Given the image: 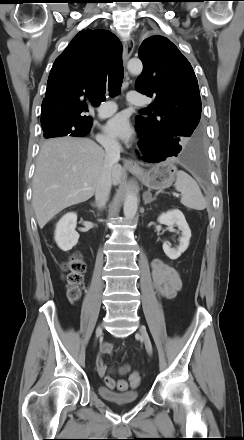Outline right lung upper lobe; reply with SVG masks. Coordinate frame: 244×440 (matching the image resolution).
<instances>
[{
  "mask_svg": "<svg viewBox=\"0 0 244 440\" xmlns=\"http://www.w3.org/2000/svg\"><path fill=\"white\" fill-rule=\"evenodd\" d=\"M121 50L119 39L110 31H80L52 66L41 122L59 120L77 126L92 123L83 113L105 100L108 67Z\"/></svg>",
  "mask_w": 244,
  "mask_h": 440,
  "instance_id": "cb5924a9",
  "label": "right lung upper lobe"
}]
</instances>
